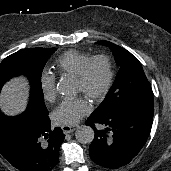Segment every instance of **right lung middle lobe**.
Instances as JSON below:
<instances>
[{
	"label": "right lung middle lobe",
	"instance_id": "1",
	"mask_svg": "<svg viewBox=\"0 0 171 171\" xmlns=\"http://www.w3.org/2000/svg\"><path fill=\"white\" fill-rule=\"evenodd\" d=\"M56 48H28L22 49L6 57L0 64V91L2 86L10 78L25 74L32 84L31 98L27 110L17 116L8 117L0 111V152L5 150L15 135L12 125L32 113L36 118H43L48 114L44 104V96L41 84L43 68Z\"/></svg>",
	"mask_w": 171,
	"mask_h": 171
}]
</instances>
